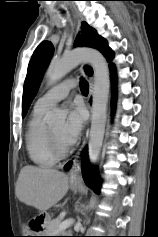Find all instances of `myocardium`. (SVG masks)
Masks as SVG:
<instances>
[{
	"instance_id": "obj_1",
	"label": "myocardium",
	"mask_w": 158,
	"mask_h": 237,
	"mask_svg": "<svg viewBox=\"0 0 158 237\" xmlns=\"http://www.w3.org/2000/svg\"><path fill=\"white\" fill-rule=\"evenodd\" d=\"M47 140H48V144L51 149V152L56 159L64 158L70 153V149L68 147L63 148L57 143L50 128L47 129Z\"/></svg>"
}]
</instances>
